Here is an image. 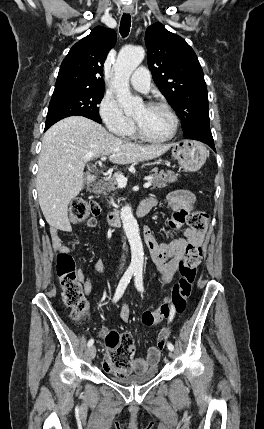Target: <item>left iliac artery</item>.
Here are the masks:
<instances>
[{"label":"left iliac artery","mask_w":264,"mask_h":429,"mask_svg":"<svg viewBox=\"0 0 264 429\" xmlns=\"http://www.w3.org/2000/svg\"><path fill=\"white\" fill-rule=\"evenodd\" d=\"M142 273H143L142 272V268H137L135 270V273H134V275H135V286L141 292L144 291V288H143V275H142ZM173 317H174V311L172 310V313H171V316L169 318V321H172ZM167 347H168L169 350H172V351L174 350V346H173V344L171 342L167 343Z\"/></svg>","instance_id":"44dca946"}]
</instances>
